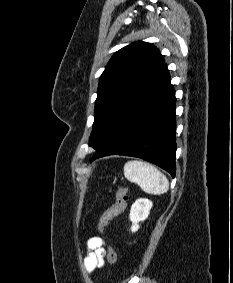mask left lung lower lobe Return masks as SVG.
I'll return each instance as SVG.
<instances>
[{"mask_svg": "<svg viewBox=\"0 0 233 283\" xmlns=\"http://www.w3.org/2000/svg\"><path fill=\"white\" fill-rule=\"evenodd\" d=\"M170 81L164 63L91 161L108 155L139 157L160 166L174 178L176 98Z\"/></svg>", "mask_w": 233, "mask_h": 283, "instance_id": "0a47b994", "label": "left lung lower lobe"}]
</instances>
